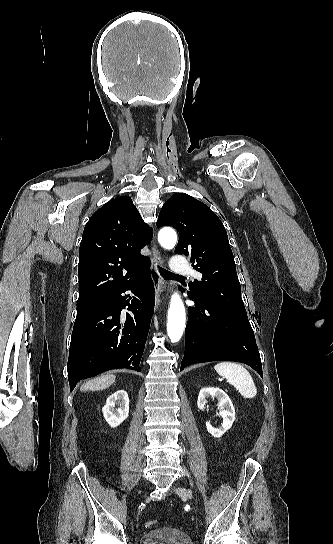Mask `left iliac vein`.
<instances>
[{
	"label": "left iliac vein",
	"instance_id": "1",
	"mask_svg": "<svg viewBox=\"0 0 333 544\" xmlns=\"http://www.w3.org/2000/svg\"><path fill=\"white\" fill-rule=\"evenodd\" d=\"M176 492L182 497V498H187V499H190L192 500L193 499V495L191 493V491L183 488V487H178L176 488Z\"/></svg>",
	"mask_w": 333,
	"mask_h": 544
}]
</instances>
